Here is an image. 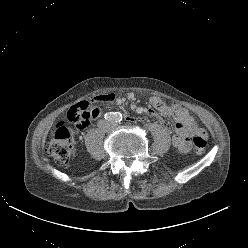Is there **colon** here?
Returning a JSON list of instances; mask_svg holds the SVG:
<instances>
[{"mask_svg": "<svg viewBox=\"0 0 248 248\" xmlns=\"http://www.w3.org/2000/svg\"><path fill=\"white\" fill-rule=\"evenodd\" d=\"M96 99L101 102H110L113 95H101L91 101H82L73 105L66 114V121L77 130H85L95 118L98 107ZM193 147L197 153H202L207 145V135L203 129H198L193 137ZM48 154L59 165H67L74 152L73 134L66 126L65 121L57 123L55 131L46 146Z\"/></svg>", "mask_w": 248, "mask_h": 248, "instance_id": "5ec220e1", "label": "colon"}]
</instances>
